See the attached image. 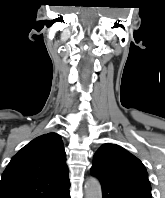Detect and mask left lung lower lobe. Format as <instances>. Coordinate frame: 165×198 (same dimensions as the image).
<instances>
[{"label":"left lung lower lobe","instance_id":"left-lung-lower-lobe-1","mask_svg":"<svg viewBox=\"0 0 165 198\" xmlns=\"http://www.w3.org/2000/svg\"><path fill=\"white\" fill-rule=\"evenodd\" d=\"M101 185L103 198H133L132 196L120 192L109 185L103 183H101Z\"/></svg>","mask_w":165,"mask_h":198}]
</instances>
